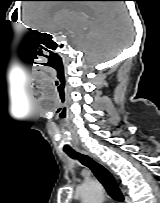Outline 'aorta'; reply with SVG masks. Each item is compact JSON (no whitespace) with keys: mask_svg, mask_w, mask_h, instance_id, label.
I'll use <instances>...</instances> for the list:
<instances>
[{"mask_svg":"<svg viewBox=\"0 0 160 203\" xmlns=\"http://www.w3.org/2000/svg\"><path fill=\"white\" fill-rule=\"evenodd\" d=\"M82 203H103L104 191L96 181H87L80 188Z\"/></svg>","mask_w":160,"mask_h":203,"instance_id":"obj_1","label":"aorta"}]
</instances>
